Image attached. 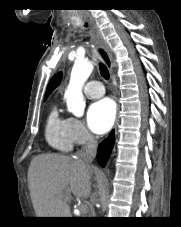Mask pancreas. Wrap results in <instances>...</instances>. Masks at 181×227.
<instances>
[{"label":"pancreas","mask_w":181,"mask_h":227,"mask_svg":"<svg viewBox=\"0 0 181 227\" xmlns=\"http://www.w3.org/2000/svg\"><path fill=\"white\" fill-rule=\"evenodd\" d=\"M87 213H89V209L87 208V210L85 211V212H81V217H87L86 215H84V214H87Z\"/></svg>","instance_id":"1"}]
</instances>
